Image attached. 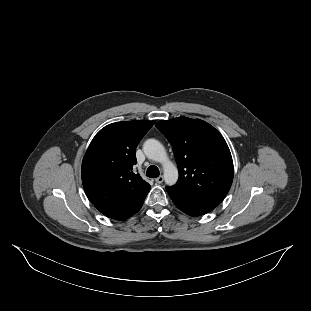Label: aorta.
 <instances>
[{
	"instance_id": "aorta-1",
	"label": "aorta",
	"mask_w": 311,
	"mask_h": 311,
	"mask_svg": "<svg viewBox=\"0 0 311 311\" xmlns=\"http://www.w3.org/2000/svg\"><path fill=\"white\" fill-rule=\"evenodd\" d=\"M143 151L148 159L162 164L165 183L174 185L178 180V169L169 160L164 146L156 139H147L143 144Z\"/></svg>"
}]
</instances>
